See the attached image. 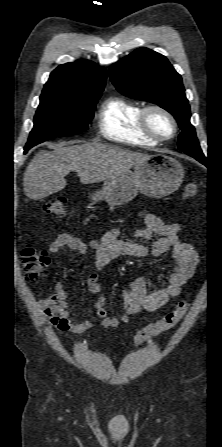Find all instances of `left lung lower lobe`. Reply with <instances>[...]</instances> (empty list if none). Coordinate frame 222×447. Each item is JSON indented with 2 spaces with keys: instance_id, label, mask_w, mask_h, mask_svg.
Listing matches in <instances>:
<instances>
[{
  "instance_id": "obj_1",
  "label": "left lung lower lobe",
  "mask_w": 222,
  "mask_h": 447,
  "mask_svg": "<svg viewBox=\"0 0 222 447\" xmlns=\"http://www.w3.org/2000/svg\"><path fill=\"white\" fill-rule=\"evenodd\" d=\"M192 157H194L196 160H198L202 164H205V162H206L205 157H200V156H192Z\"/></svg>"
}]
</instances>
